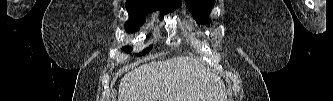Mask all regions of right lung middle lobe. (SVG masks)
Instances as JSON below:
<instances>
[{"label":"right lung middle lobe","mask_w":333,"mask_h":101,"mask_svg":"<svg viewBox=\"0 0 333 101\" xmlns=\"http://www.w3.org/2000/svg\"><path fill=\"white\" fill-rule=\"evenodd\" d=\"M181 4H171L158 1L150 0H131L126 1V8L129 13V20L125 24L126 31L136 32L139 27L145 22L146 15L157 9L161 10V14H167L173 12L176 8L180 7ZM126 52H131V47L125 46L122 48ZM152 49V45L146 48L138 56L148 53Z\"/></svg>","instance_id":"1"}]
</instances>
